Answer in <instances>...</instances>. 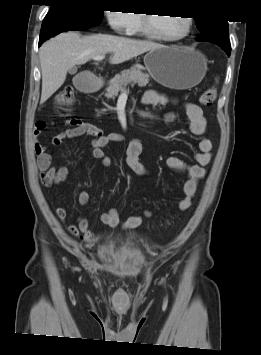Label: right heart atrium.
I'll return each mask as SVG.
<instances>
[{
    "mask_svg": "<svg viewBox=\"0 0 261 355\" xmlns=\"http://www.w3.org/2000/svg\"><path fill=\"white\" fill-rule=\"evenodd\" d=\"M106 18L112 29L120 34H130L136 21V14L130 10L108 11Z\"/></svg>",
    "mask_w": 261,
    "mask_h": 355,
    "instance_id": "right-heart-atrium-1",
    "label": "right heart atrium"
}]
</instances>
